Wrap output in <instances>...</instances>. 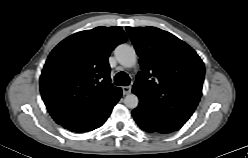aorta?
Returning <instances> with one entry per match:
<instances>
[{
    "label": "aorta",
    "instance_id": "762f6f07",
    "mask_svg": "<svg viewBox=\"0 0 248 158\" xmlns=\"http://www.w3.org/2000/svg\"><path fill=\"white\" fill-rule=\"evenodd\" d=\"M117 61L124 67L131 68L136 64L137 55L135 49L127 44L118 45L114 50ZM127 108L135 109L139 104V99L135 94H128L124 98Z\"/></svg>",
    "mask_w": 248,
    "mask_h": 158
}]
</instances>
